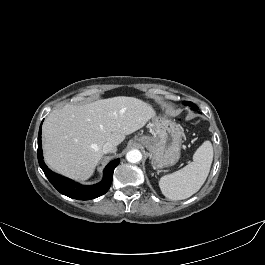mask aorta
<instances>
[{"instance_id":"obj_1","label":"aorta","mask_w":265,"mask_h":265,"mask_svg":"<svg viewBox=\"0 0 265 265\" xmlns=\"http://www.w3.org/2000/svg\"><path fill=\"white\" fill-rule=\"evenodd\" d=\"M126 159L130 163H138L142 159V154L139 150H130L126 154Z\"/></svg>"}]
</instances>
